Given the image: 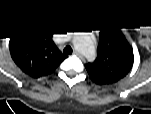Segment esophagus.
Here are the masks:
<instances>
[{"instance_id":"esophagus-1","label":"esophagus","mask_w":151,"mask_h":114,"mask_svg":"<svg viewBox=\"0 0 151 114\" xmlns=\"http://www.w3.org/2000/svg\"><path fill=\"white\" fill-rule=\"evenodd\" d=\"M74 54L82 58V55L78 51H74Z\"/></svg>"}]
</instances>
